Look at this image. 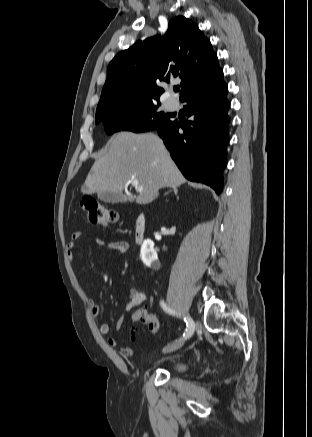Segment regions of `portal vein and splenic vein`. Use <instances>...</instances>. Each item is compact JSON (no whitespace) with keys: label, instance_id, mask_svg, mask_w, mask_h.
Here are the masks:
<instances>
[{"label":"portal vein and splenic vein","instance_id":"18ae733b","mask_svg":"<svg viewBox=\"0 0 312 437\" xmlns=\"http://www.w3.org/2000/svg\"><path fill=\"white\" fill-rule=\"evenodd\" d=\"M131 184H132V185H133L137 190H139V191L143 190V186H141L137 180H132V181H131Z\"/></svg>","mask_w":312,"mask_h":437}]
</instances>
